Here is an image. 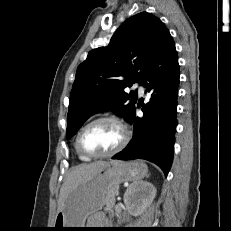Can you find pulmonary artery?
I'll return each instance as SVG.
<instances>
[{
    "label": "pulmonary artery",
    "instance_id": "1",
    "mask_svg": "<svg viewBox=\"0 0 231 231\" xmlns=\"http://www.w3.org/2000/svg\"><path fill=\"white\" fill-rule=\"evenodd\" d=\"M135 88L138 90L139 95H144L145 88L141 83H135Z\"/></svg>",
    "mask_w": 231,
    "mask_h": 231
}]
</instances>
